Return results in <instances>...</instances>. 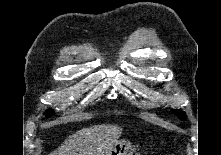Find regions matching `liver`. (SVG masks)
Returning <instances> with one entry per match:
<instances>
[{"label":"liver","mask_w":221,"mask_h":155,"mask_svg":"<svg viewBox=\"0 0 221 155\" xmlns=\"http://www.w3.org/2000/svg\"><path fill=\"white\" fill-rule=\"evenodd\" d=\"M122 128L94 125L70 135L51 155H109L119 141Z\"/></svg>","instance_id":"6515ba94"}]
</instances>
